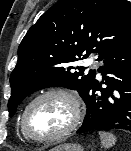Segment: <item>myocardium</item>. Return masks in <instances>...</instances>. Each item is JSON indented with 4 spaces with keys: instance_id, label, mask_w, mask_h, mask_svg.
Listing matches in <instances>:
<instances>
[{
    "instance_id": "f54148a6",
    "label": "myocardium",
    "mask_w": 131,
    "mask_h": 151,
    "mask_svg": "<svg viewBox=\"0 0 131 151\" xmlns=\"http://www.w3.org/2000/svg\"><path fill=\"white\" fill-rule=\"evenodd\" d=\"M51 96H57V97L63 98L69 104L70 110H71L70 121L63 130H61L60 132H58L54 135H51L48 137L33 136L29 132V130L27 128V124H26L28 112L32 108V106L34 104H36L38 101H40L44 98H47V97H51ZM81 117H82L81 104H80L79 99L73 92H71L70 90H68L66 88H62V87L48 88V89L43 90L42 92L38 93L37 95H35L24 108L22 116H21V122H20L21 131L27 140L35 142V143L56 142V141H59V140L65 138L70 133H72L79 125V123L81 121Z\"/></svg>"
}]
</instances>
